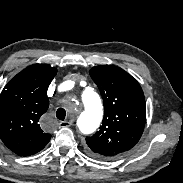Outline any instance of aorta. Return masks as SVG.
Instances as JSON below:
<instances>
[{
    "mask_svg": "<svg viewBox=\"0 0 183 183\" xmlns=\"http://www.w3.org/2000/svg\"><path fill=\"white\" fill-rule=\"evenodd\" d=\"M84 106L77 119V126L81 133L91 134L100 125L103 117V106L100 96L93 89H86L81 95Z\"/></svg>",
    "mask_w": 183,
    "mask_h": 183,
    "instance_id": "762f6f07",
    "label": "aorta"
}]
</instances>
